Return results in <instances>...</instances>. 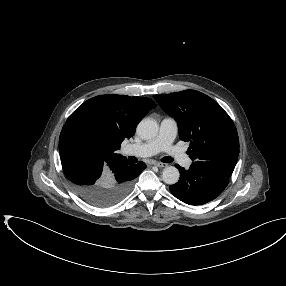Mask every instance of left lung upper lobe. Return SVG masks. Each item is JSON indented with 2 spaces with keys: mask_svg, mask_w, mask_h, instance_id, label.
Returning <instances> with one entry per match:
<instances>
[{
  "mask_svg": "<svg viewBox=\"0 0 286 286\" xmlns=\"http://www.w3.org/2000/svg\"><path fill=\"white\" fill-rule=\"evenodd\" d=\"M153 97L177 121L180 139L190 141L188 154L192 166L230 178L239 155V139L233 121L223 108L196 90Z\"/></svg>",
  "mask_w": 286,
  "mask_h": 286,
  "instance_id": "left-lung-upper-lobe-1",
  "label": "left lung upper lobe"
}]
</instances>
